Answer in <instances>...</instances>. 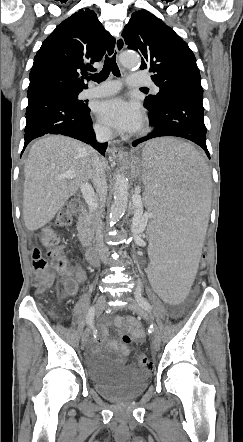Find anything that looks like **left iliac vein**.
<instances>
[{"label":"left iliac vein","mask_w":243,"mask_h":442,"mask_svg":"<svg viewBox=\"0 0 243 442\" xmlns=\"http://www.w3.org/2000/svg\"><path fill=\"white\" fill-rule=\"evenodd\" d=\"M127 301L129 302V307L132 309V311L137 314L138 316L142 317L143 319L147 320L149 323H153L151 317L147 313V311L139 305V303L134 300L132 297L128 296ZM153 334V341L152 346L155 350H158L161 343V333L159 329L155 326L154 330L152 332Z\"/></svg>","instance_id":"obj_1"}]
</instances>
